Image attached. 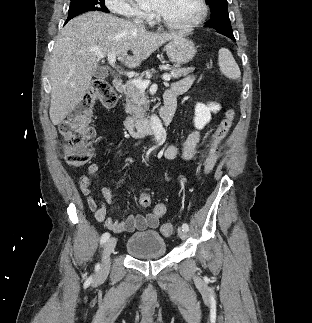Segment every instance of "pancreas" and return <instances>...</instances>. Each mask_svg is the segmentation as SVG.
<instances>
[{"label":"pancreas","instance_id":"obj_1","mask_svg":"<svg viewBox=\"0 0 312 323\" xmlns=\"http://www.w3.org/2000/svg\"><path fill=\"white\" fill-rule=\"evenodd\" d=\"M194 70L195 68H173L168 76L170 78H181V76H188ZM143 78L144 76H140L137 80H143ZM126 90V104H124L126 114H130L131 120H135V122H143L148 110V96H146L145 92H141L139 88L134 86L133 80L132 82H127Z\"/></svg>","mask_w":312,"mask_h":323}]
</instances>
